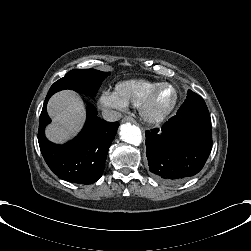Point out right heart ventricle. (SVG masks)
<instances>
[{
	"label": "right heart ventricle",
	"instance_id": "right-heart-ventricle-1",
	"mask_svg": "<svg viewBox=\"0 0 251 251\" xmlns=\"http://www.w3.org/2000/svg\"><path fill=\"white\" fill-rule=\"evenodd\" d=\"M159 80L155 78H132L119 81L114 93L126 105L139 107L147 93Z\"/></svg>",
	"mask_w": 251,
	"mask_h": 251
}]
</instances>
